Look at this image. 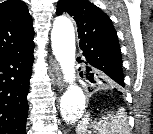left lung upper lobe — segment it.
I'll return each mask as SVG.
<instances>
[{
  "label": "left lung upper lobe",
  "instance_id": "obj_1",
  "mask_svg": "<svg viewBox=\"0 0 153 134\" xmlns=\"http://www.w3.org/2000/svg\"><path fill=\"white\" fill-rule=\"evenodd\" d=\"M68 13L78 26L80 49L86 63L105 74L109 87H124L121 51L111 19L88 0H60L56 14Z\"/></svg>",
  "mask_w": 153,
  "mask_h": 134
}]
</instances>
